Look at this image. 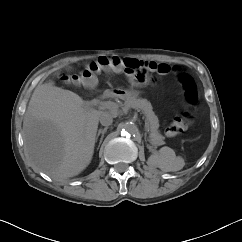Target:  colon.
<instances>
[{"label": "colon", "instance_id": "1", "mask_svg": "<svg viewBox=\"0 0 242 242\" xmlns=\"http://www.w3.org/2000/svg\"><path fill=\"white\" fill-rule=\"evenodd\" d=\"M101 70L124 72L135 85H144L152 81L156 75H167L175 71L179 82L183 86L186 101L189 104H194L197 101V88L192 78L179 72L177 68L164 63L144 62L118 56H102L91 61L79 74L64 76V79L69 82L90 85L94 81V75ZM190 118L191 113L189 111L184 112L181 117L175 118L167 127V134L175 135L184 131Z\"/></svg>", "mask_w": 242, "mask_h": 242}]
</instances>
